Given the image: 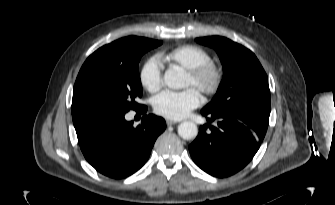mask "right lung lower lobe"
Returning a JSON list of instances; mask_svg holds the SVG:
<instances>
[{"label": "right lung lower lobe", "instance_id": "98d812e1", "mask_svg": "<svg viewBox=\"0 0 335 205\" xmlns=\"http://www.w3.org/2000/svg\"><path fill=\"white\" fill-rule=\"evenodd\" d=\"M138 111L145 114L147 107ZM125 114L100 116L74 122L80 148L86 160L100 173L115 179L128 177L149 158L157 137L165 130L163 118L144 115L133 127Z\"/></svg>", "mask_w": 335, "mask_h": 205}]
</instances>
